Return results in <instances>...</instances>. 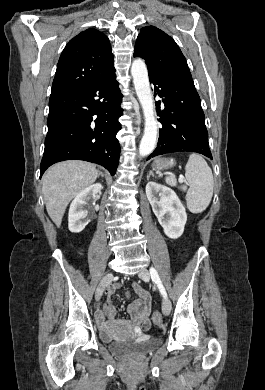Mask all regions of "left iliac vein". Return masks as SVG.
I'll return each instance as SVG.
<instances>
[{
    "label": "left iliac vein",
    "instance_id": "1",
    "mask_svg": "<svg viewBox=\"0 0 265 390\" xmlns=\"http://www.w3.org/2000/svg\"><path fill=\"white\" fill-rule=\"evenodd\" d=\"M139 277L143 281L147 282L150 279V273L147 269H142L139 272ZM170 311H171V302L167 297H164L163 301H162V312L164 315H168L170 313Z\"/></svg>",
    "mask_w": 265,
    "mask_h": 390
}]
</instances>
